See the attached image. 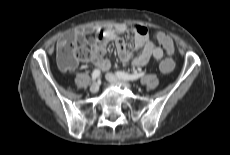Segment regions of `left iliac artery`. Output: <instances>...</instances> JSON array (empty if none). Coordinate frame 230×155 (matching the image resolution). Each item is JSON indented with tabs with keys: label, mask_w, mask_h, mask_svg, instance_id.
<instances>
[{
	"label": "left iliac artery",
	"mask_w": 230,
	"mask_h": 155,
	"mask_svg": "<svg viewBox=\"0 0 230 155\" xmlns=\"http://www.w3.org/2000/svg\"><path fill=\"white\" fill-rule=\"evenodd\" d=\"M116 75L119 78L123 79V80L134 81V80H137V79L143 77L144 76V72H139V73H134V74H128V73H125V72H122V71H117Z\"/></svg>",
	"instance_id": "44dca946"
}]
</instances>
